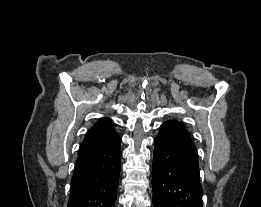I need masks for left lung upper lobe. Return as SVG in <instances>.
<instances>
[{"label":"left lung upper lobe","instance_id":"obj_1","mask_svg":"<svg viewBox=\"0 0 261 207\" xmlns=\"http://www.w3.org/2000/svg\"><path fill=\"white\" fill-rule=\"evenodd\" d=\"M176 122H177V121H176ZM178 123H179L180 126L184 129V131H185L187 137L192 141V137H191L190 133L188 132V130L185 128L184 124L181 123V122H178Z\"/></svg>","mask_w":261,"mask_h":207}]
</instances>
